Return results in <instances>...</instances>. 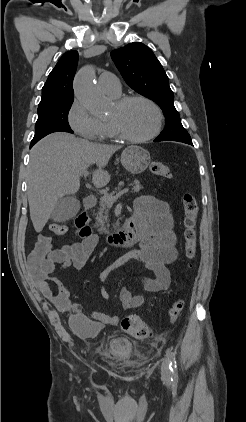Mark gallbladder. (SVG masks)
<instances>
[{"mask_svg": "<svg viewBox=\"0 0 246 422\" xmlns=\"http://www.w3.org/2000/svg\"><path fill=\"white\" fill-rule=\"evenodd\" d=\"M80 209V201L74 196H66L58 200L51 219L55 222H65L73 218Z\"/></svg>", "mask_w": 246, "mask_h": 422, "instance_id": "gallbladder-1", "label": "gallbladder"}]
</instances>
